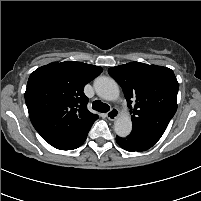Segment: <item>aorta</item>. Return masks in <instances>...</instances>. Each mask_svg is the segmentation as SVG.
<instances>
[{"mask_svg":"<svg viewBox=\"0 0 201 201\" xmlns=\"http://www.w3.org/2000/svg\"><path fill=\"white\" fill-rule=\"evenodd\" d=\"M96 94L107 101H115L120 95L117 82L111 77L100 76L94 81ZM115 133L119 137H126L132 130V121L128 114L119 116L114 122Z\"/></svg>","mask_w":201,"mask_h":201,"instance_id":"aorta-1","label":"aorta"}]
</instances>
